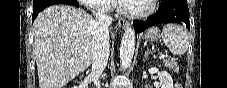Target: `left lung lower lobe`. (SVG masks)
Returning a JSON list of instances; mask_svg holds the SVG:
<instances>
[{
  "mask_svg": "<svg viewBox=\"0 0 227 88\" xmlns=\"http://www.w3.org/2000/svg\"><path fill=\"white\" fill-rule=\"evenodd\" d=\"M157 13L150 16L147 21H134L135 33L161 23H186L189 29V9L187 0H161Z\"/></svg>",
  "mask_w": 227,
  "mask_h": 88,
  "instance_id": "left-lung-lower-lobe-1",
  "label": "left lung lower lobe"
}]
</instances>
